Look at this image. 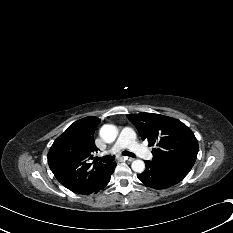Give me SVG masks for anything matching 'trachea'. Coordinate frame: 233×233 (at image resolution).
Segmentation results:
<instances>
[{
	"label": "trachea",
	"mask_w": 233,
	"mask_h": 233,
	"mask_svg": "<svg viewBox=\"0 0 233 233\" xmlns=\"http://www.w3.org/2000/svg\"><path fill=\"white\" fill-rule=\"evenodd\" d=\"M122 155L133 157V158L135 157V154H133L132 152H129V151H123ZM114 159H115L114 156H104V157H101V158L100 157H96L97 161H101L103 163H111V162L114 161Z\"/></svg>",
	"instance_id": "1"
}]
</instances>
